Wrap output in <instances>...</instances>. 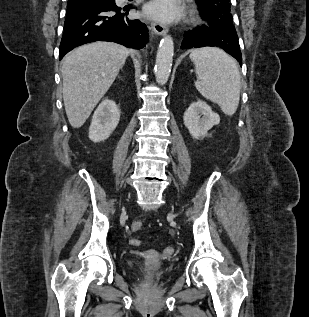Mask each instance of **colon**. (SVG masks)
Returning <instances> with one entry per match:
<instances>
[{"label":"colon","instance_id":"1","mask_svg":"<svg viewBox=\"0 0 309 317\" xmlns=\"http://www.w3.org/2000/svg\"><path fill=\"white\" fill-rule=\"evenodd\" d=\"M141 228H142V222H141V221L136 220V221L132 222V224H131V229H132L133 231H139ZM129 243H130V245L137 247V246H139V245L141 244V241H140L139 239L134 238V239H131V240L129 241ZM166 252L170 253V252H171V249L168 248V249L166 250Z\"/></svg>","mask_w":309,"mask_h":317}]
</instances>
